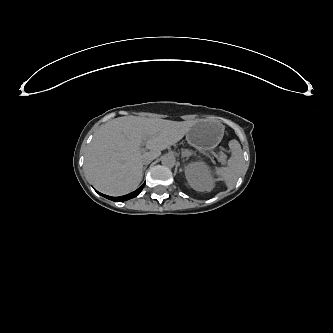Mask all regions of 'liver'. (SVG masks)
Wrapping results in <instances>:
<instances>
[{
	"label": "liver",
	"mask_w": 333,
	"mask_h": 333,
	"mask_svg": "<svg viewBox=\"0 0 333 333\" xmlns=\"http://www.w3.org/2000/svg\"><path fill=\"white\" fill-rule=\"evenodd\" d=\"M161 125L159 121L143 120V135L95 137L85 156V169L94 187L106 194L134 191L143 178V159H155L183 137L179 133H159ZM142 146L150 151H143Z\"/></svg>",
	"instance_id": "1"
}]
</instances>
